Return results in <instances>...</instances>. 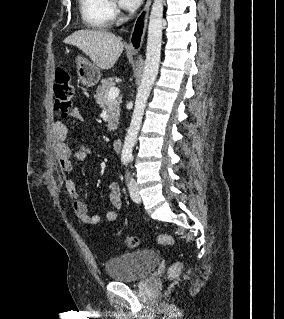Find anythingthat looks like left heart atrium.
Returning a JSON list of instances; mask_svg holds the SVG:
<instances>
[{
    "mask_svg": "<svg viewBox=\"0 0 284 319\" xmlns=\"http://www.w3.org/2000/svg\"><path fill=\"white\" fill-rule=\"evenodd\" d=\"M143 0H119V5L128 11H133L137 9L141 4Z\"/></svg>",
    "mask_w": 284,
    "mask_h": 319,
    "instance_id": "1",
    "label": "left heart atrium"
}]
</instances>
